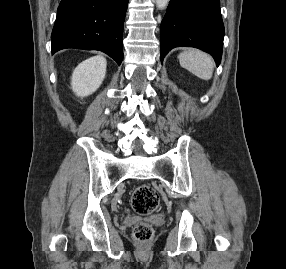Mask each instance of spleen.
Masks as SVG:
<instances>
[{"label": "spleen", "mask_w": 286, "mask_h": 269, "mask_svg": "<svg viewBox=\"0 0 286 269\" xmlns=\"http://www.w3.org/2000/svg\"><path fill=\"white\" fill-rule=\"evenodd\" d=\"M178 59L183 68L200 79L209 80L212 78L214 61L208 54L200 50L190 49L180 53Z\"/></svg>", "instance_id": "spleen-1"}]
</instances>
